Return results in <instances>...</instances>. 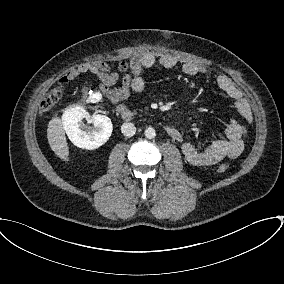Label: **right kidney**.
<instances>
[{"instance_id":"1","label":"right kidney","mask_w":284,"mask_h":284,"mask_svg":"<svg viewBox=\"0 0 284 284\" xmlns=\"http://www.w3.org/2000/svg\"><path fill=\"white\" fill-rule=\"evenodd\" d=\"M99 101L102 98L100 92L93 94ZM93 123L94 128L86 127L82 119ZM63 127L70 141L77 147L93 150L103 145L111 136L113 126L110 118L104 115L90 116L81 105L67 108L62 116Z\"/></svg>"}]
</instances>
